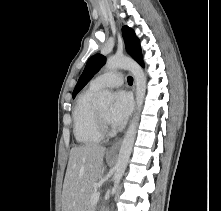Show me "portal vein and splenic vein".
Segmentation results:
<instances>
[{"label": "portal vein and splenic vein", "instance_id": "obj_1", "mask_svg": "<svg viewBox=\"0 0 221 211\" xmlns=\"http://www.w3.org/2000/svg\"><path fill=\"white\" fill-rule=\"evenodd\" d=\"M100 197V192H96L93 194L92 198H91V202L92 204H96L99 200Z\"/></svg>", "mask_w": 221, "mask_h": 211}]
</instances>
